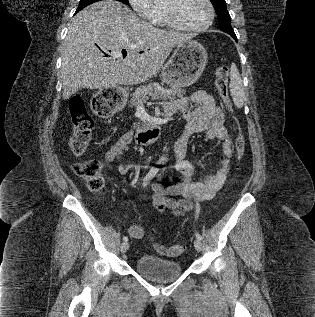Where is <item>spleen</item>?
I'll use <instances>...</instances> for the list:
<instances>
[{"mask_svg": "<svg viewBox=\"0 0 315 317\" xmlns=\"http://www.w3.org/2000/svg\"><path fill=\"white\" fill-rule=\"evenodd\" d=\"M230 92L233 97L234 105L237 108H242L245 100V89L242 83L241 76L235 63L231 64L230 68Z\"/></svg>", "mask_w": 315, "mask_h": 317, "instance_id": "1", "label": "spleen"}]
</instances>
